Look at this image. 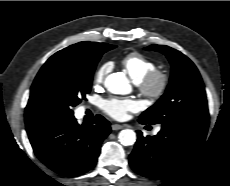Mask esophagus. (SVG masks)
Here are the masks:
<instances>
[{"mask_svg":"<svg viewBox=\"0 0 230 186\" xmlns=\"http://www.w3.org/2000/svg\"><path fill=\"white\" fill-rule=\"evenodd\" d=\"M124 126L123 125H120V124H113L111 126L112 130L116 131V130H120L122 129Z\"/></svg>","mask_w":230,"mask_h":186,"instance_id":"esophagus-1","label":"esophagus"}]
</instances>
